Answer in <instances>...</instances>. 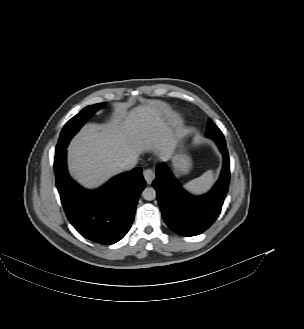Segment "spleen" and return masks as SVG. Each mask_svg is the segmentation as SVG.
<instances>
[{
  "instance_id": "spleen-1",
  "label": "spleen",
  "mask_w": 304,
  "mask_h": 329,
  "mask_svg": "<svg viewBox=\"0 0 304 329\" xmlns=\"http://www.w3.org/2000/svg\"><path fill=\"white\" fill-rule=\"evenodd\" d=\"M214 181V174L211 170L205 172L200 177L191 180L184 187L194 194H201L207 191Z\"/></svg>"
}]
</instances>
